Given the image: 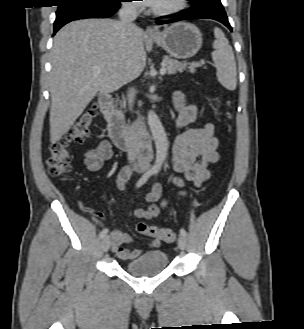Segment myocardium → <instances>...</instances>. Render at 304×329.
Masks as SVG:
<instances>
[{
    "label": "myocardium",
    "mask_w": 304,
    "mask_h": 329,
    "mask_svg": "<svg viewBox=\"0 0 304 329\" xmlns=\"http://www.w3.org/2000/svg\"><path fill=\"white\" fill-rule=\"evenodd\" d=\"M188 4V0H177L173 5L165 8H151L150 12L156 16H171L183 11Z\"/></svg>",
    "instance_id": "myocardium-1"
}]
</instances>
